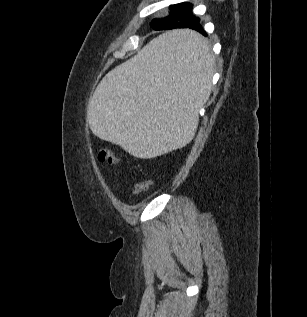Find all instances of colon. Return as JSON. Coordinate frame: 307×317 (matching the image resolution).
I'll return each instance as SVG.
<instances>
[{
	"label": "colon",
	"instance_id": "1",
	"mask_svg": "<svg viewBox=\"0 0 307 317\" xmlns=\"http://www.w3.org/2000/svg\"><path fill=\"white\" fill-rule=\"evenodd\" d=\"M97 158L101 163H105L108 165H116L119 162V159L114 154V152L111 149L108 148H101L98 151ZM153 185L152 179H147L142 182H139L134 185L132 189L133 195H138L140 193L146 192L151 188Z\"/></svg>",
	"mask_w": 307,
	"mask_h": 317
}]
</instances>
